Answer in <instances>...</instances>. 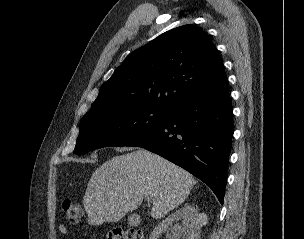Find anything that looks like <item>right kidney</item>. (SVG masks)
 I'll use <instances>...</instances> for the list:
<instances>
[{
    "label": "right kidney",
    "instance_id": "obj_1",
    "mask_svg": "<svg viewBox=\"0 0 304 239\" xmlns=\"http://www.w3.org/2000/svg\"><path fill=\"white\" fill-rule=\"evenodd\" d=\"M201 218L193 206L186 204L162 220L153 229L150 239H158L163 232H167V239H199Z\"/></svg>",
    "mask_w": 304,
    "mask_h": 239
}]
</instances>
